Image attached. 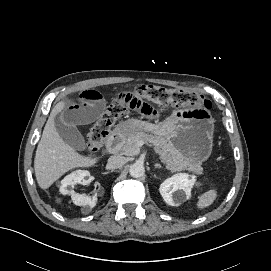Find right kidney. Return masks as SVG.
Listing matches in <instances>:
<instances>
[{
  "label": "right kidney",
  "mask_w": 271,
  "mask_h": 271,
  "mask_svg": "<svg viewBox=\"0 0 271 271\" xmlns=\"http://www.w3.org/2000/svg\"><path fill=\"white\" fill-rule=\"evenodd\" d=\"M90 177V173L86 170H77L70 175L64 177L61 181L60 192L63 195H71L72 201L78 206H90L94 207L97 203V196H86L84 194H78L74 190H69L68 187H74L75 184L80 183L87 185L90 181L86 179Z\"/></svg>",
  "instance_id": "obj_1"
}]
</instances>
